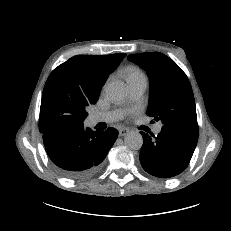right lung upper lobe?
<instances>
[{"instance_id": "right-lung-upper-lobe-1", "label": "right lung upper lobe", "mask_w": 231, "mask_h": 231, "mask_svg": "<svg viewBox=\"0 0 231 231\" xmlns=\"http://www.w3.org/2000/svg\"><path fill=\"white\" fill-rule=\"evenodd\" d=\"M126 54L77 55L57 68L71 72L78 84L101 90L108 75L116 68Z\"/></svg>"}]
</instances>
